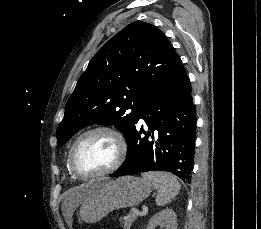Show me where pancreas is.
<instances>
[{
  "label": "pancreas",
  "instance_id": "obj_1",
  "mask_svg": "<svg viewBox=\"0 0 261 229\" xmlns=\"http://www.w3.org/2000/svg\"><path fill=\"white\" fill-rule=\"evenodd\" d=\"M128 219H124V221H122V219H120V225L122 227V229H130L132 223H134V221H136L138 215L137 213H129V215H127Z\"/></svg>",
  "mask_w": 261,
  "mask_h": 229
}]
</instances>
